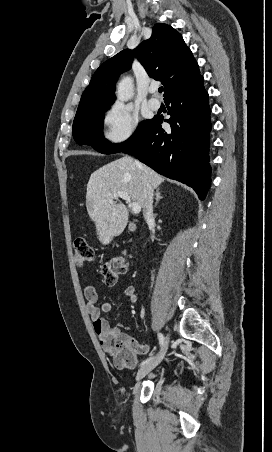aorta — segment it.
Instances as JSON below:
<instances>
[{
  "label": "aorta",
  "mask_w": 272,
  "mask_h": 452,
  "mask_svg": "<svg viewBox=\"0 0 272 452\" xmlns=\"http://www.w3.org/2000/svg\"><path fill=\"white\" fill-rule=\"evenodd\" d=\"M133 96V84L130 77L122 79L117 88V100L119 102H127Z\"/></svg>",
  "instance_id": "aorta-1"
}]
</instances>
